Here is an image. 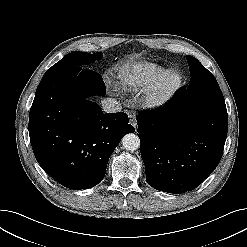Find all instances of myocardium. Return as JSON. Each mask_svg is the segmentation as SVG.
Here are the masks:
<instances>
[{
    "label": "myocardium",
    "mask_w": 247,
    "mask_h": 247,
    "mask_svg": "<svg viewBox=\"0 0 247 247\" xmlns=\"http://www.w3.org/2000/svg\"><path fill=\"white\" fill-rule=\"evenodd\" d=\"M182 81V74L178 70L163 72L146 90V102L151 107L165 104L181 87Z\"/></svg>",
    "instance_id": "myocardium-1"
}]
</instances>
